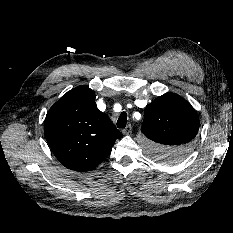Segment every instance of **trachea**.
Segmentation results:
<instances>
[{"mask_svg": "<svg viewBox=\"0 0 233 233\" xmlns=\"http://www.w3.org/2000/svg\"><path fill=\"white\" fill-rule=\"evenodd\" d=\"M126 124H127V113L122 112L118 118L117 127L124 128L126 126Z\"/></svg>", "mask_w": 233, "mask_h": 233, "instance_id": "trachea-1", "label": "trachea"}]
</instances>
